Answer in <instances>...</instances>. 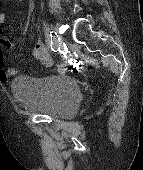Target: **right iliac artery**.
I'll list each match as a JSON object with an SVG mask.
<instances>
[{"label":"right iliac artery","mask_w":143,"mask_h":170,"mask_svg":"<svg viewBox=\"0 0 143 170\" xmlns=\"http://www.w3.org/2000/svg\"><path fill=\"white\" fill-rule=\"evenodd\" d=\"M49 33L51 50L54 52L60 51V38H58V36H53L52 31H50Z\"/></svg>","instance_id":"1"}]
</instances>
